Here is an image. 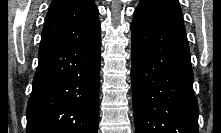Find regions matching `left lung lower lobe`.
<instances>
[{
  "instance_id": "1",
  "label": "left lung lower lobe",
  "mask_w": 221,
  "mask_h": 133,
  "mask_svg": "<svg viewBox=\"0 0 221 133\" xmlns=\"http://www.w3.org/2000/svg\"><path fill=\"white\" fill-rule=\"evenodd\" d=\"M135 133H199L186 32L132 22Z\"/></svg>"
}]
</instances>
